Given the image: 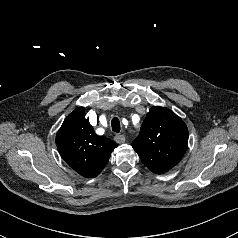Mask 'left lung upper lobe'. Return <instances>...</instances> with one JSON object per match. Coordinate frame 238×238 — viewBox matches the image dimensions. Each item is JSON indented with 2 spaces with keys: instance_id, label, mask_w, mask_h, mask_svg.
<instances>
[{
  "instance_id": "5c2ea615",
  "label": "left lung upper lobe",
  "mask_w": 238,
  "mask_h": 238,
  "mask_svg": "<svg viewBox=\"0 0 238 238\" xmlns=\"http://www.w3.org/2000/svg\"><path fill=\"white\" fill-rule=\"evenodd\" d=\"M188 145V129L173 111L155 106L147 113L140 133L132 142L141 161L162 174L177 165Z\"/></svg>"
}]
</instances>
